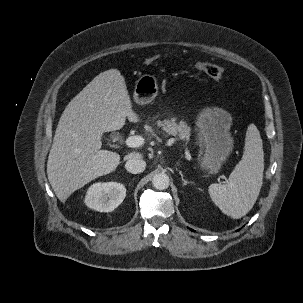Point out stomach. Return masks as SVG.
I'll return each mask as SVG.
<instances>
[{
	"label": "stomach",
	"mask_w": 303,
	"mask_h": 303,
	"mask_svg": "<svg viewBox=\"0 0 303 303\" xmlns=\"http://www.w3.org/2000/svg\"><path fill=\"white\" fill-rule=\"evenodd\" d=\"M157 93V79L146 74L136 81L133 98L138 105H146L154 100ZM231 124V115L218 107L204 108L197 117L201 167L210 174L220 170L233 150Z\"/></svg>",
	"instance_id": "obj_1"
}]
</instances>
